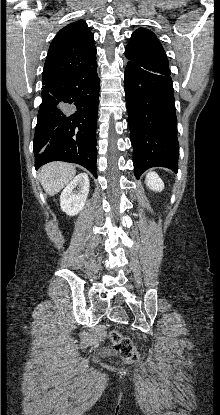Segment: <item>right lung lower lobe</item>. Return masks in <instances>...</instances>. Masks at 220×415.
Returning a JSON list of instances; mask_svg holds the SVG:
<instances>
[{
  "mask_svg": "<svg viewBox=\"0 0 220 415\" xmlns=\"http://www.w3.org/2000/svg\"><path fill=\"white\" fill-rule=\"evenodd\" d=\"M42 89L34 136L35 168L66 161L84 166L97 178V63L44 84Z\"/></svg>",
  "mask_w": 220,
  "mask_h": 415,
  "instance_id": "98d812e1",
  "label": "right lung lower lobe"
}]
</instances>
